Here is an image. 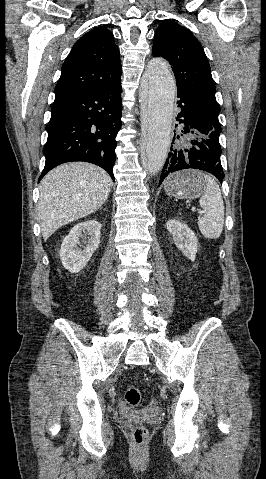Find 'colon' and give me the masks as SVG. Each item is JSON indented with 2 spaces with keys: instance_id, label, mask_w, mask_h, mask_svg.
Wrapping results in <instances>:
<instances>
[{
  "instance_id": "5ec220e1",
  "label": "colon",
  "mask_w": 266,
  "mask_h": 479,
  "mask_svg": "<svg viewBox=\"0 0 266 479\" xmlns=\"http://www.w3.org/2000/svg\"><path fill=\"white\" fill-rule=\"evenodd\" d=\"M125 399L129 406L137 407L142 400L141 392L136 387H130L125 393ZM147 435L146 428L144 426H136L132 430V440L136 445H142L145 442Z\"/></svg>"
}]
</instances>
